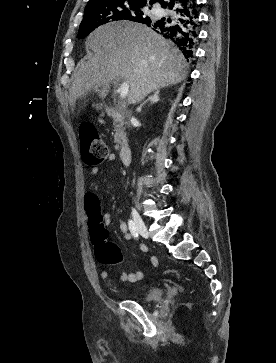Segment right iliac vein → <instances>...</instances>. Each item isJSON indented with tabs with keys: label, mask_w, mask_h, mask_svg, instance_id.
<instances>
[{
	"label": "right iliac vein",
	"mask_w": 276,
	"mask_h": 363,
	"mask_svg": "<svg viewBox=\"0 0 276 363\" xmlns=\"http://www.w3.org/2000/svg\"><path fill=\"white\" fill-rule=\"evenodd\" d=\"M132 216H133V221H134L135 227H136L137 231L139 232V234L144 238H148L149 233H148L147 227H146L144 221L142 220L141 216L138 214V212L136 210H133Z\"/></svg>",
	"instance_id": "63e3f726"
}]
</instances>
